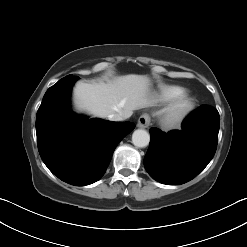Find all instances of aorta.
Returning <instances> with one entry per match:
<instances>
[{"label":"aorta","instance_id":"1","mask_svg":"<svg viewBox=\"0 0 247 247\" xmlns=\"http://www.w3.org/2000/svg\"><path fill=\"white\" fill-rule=\"evenodd\" d=\"M150 136L146 130L137 129L132 134V143L134 146L143 148L149 144Z\"/></svg>","mask_w":247,"mask_h":247}]
</instances>
